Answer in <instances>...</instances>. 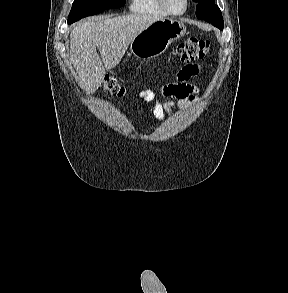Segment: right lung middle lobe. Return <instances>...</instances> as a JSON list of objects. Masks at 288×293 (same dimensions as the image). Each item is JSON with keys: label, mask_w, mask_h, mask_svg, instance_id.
I'll use <instances>...</instances> for the list:
<instances>
[{"label": "right lung middle lobe", "mask_w": 288, "mask_h": 293, "mask_svg": "<svg viewBox=\"0 0 288 293\" xmlns=\"http://www.w3.org/2000/svg\"><path fill=\"white\" fill-rule=\"evenodd\" d=\"M124 4L125 0H75L68 16V24L107 9L119 8Z\"/></svg>", "instance_id": "right-lung-middle-lobe-1"}]
</instances>
